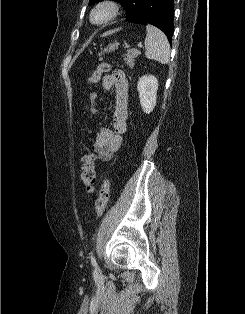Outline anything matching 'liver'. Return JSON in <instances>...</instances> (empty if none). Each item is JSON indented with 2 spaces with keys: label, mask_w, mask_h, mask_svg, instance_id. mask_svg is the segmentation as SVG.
I'll list each match as a JSON object with an SVG mask.
<instances>
[{
  "label": "liver",
  "mask_w": 245,
  "mask_h": 314,
  "mask_svg": "<svg viewBox=\"0 0 245 314\" xmlns=\"http://www.w3.org/2000/svg\"><path fill=\"white\" fill-rule=\"evenodd\" d=\"M108 34H110V32H107V33H105L104 35H108Z\"/></svg>",
  "instance_id": "obj_1"
}]
</instances>
